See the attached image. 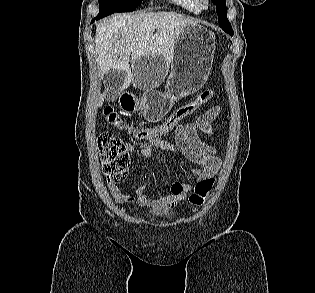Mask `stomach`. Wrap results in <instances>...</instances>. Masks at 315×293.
Masks as SVG:
<instances>
[{"mask_svg": "<svg viewBox=\"0 0 315 293\" xmlns=\"http://www.w3.org/2000/svg\"><path fill=\"white\" fill-rule=\"evenodd\" d=\"M215 53L214 34L199 24L187 26L179 35L171 59L172 69L165 92H122L119 105L125 112L142 110L146 120L160 121L174 102L200 89L207 81Z\"/></svg>", "mask_w": 315, "mask_h": 293, "instance_id": "stomach-1", "label": "stomach"}]
</instances>
